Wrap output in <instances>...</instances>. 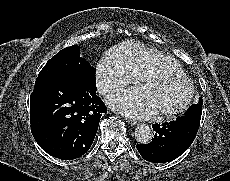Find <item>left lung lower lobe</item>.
<instances>
[{
  "label": "left lung lower lobe",
  "mask_w": 230,
  "mask_h": 181,
  "mask_svg": "<svg viewBox=\"0 0 230 181\" xmlns=\"http://www.w3.org/2000/svg\"><path fill=\"white\" fill-rule=\"evenodd\" d=\"M202 114V105H192L184 116L162 125L153 124L154 138L149 144L137 145L140 155L149 162H170L182 155L194 141Z\"/></svg>",
  "instance_id": "1"
}]
</instances>
